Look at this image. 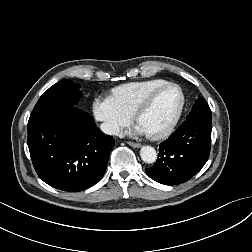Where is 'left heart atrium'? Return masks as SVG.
Instances as JSON below:
<instances>
[{
    "label": "left heart atrium",
    "mask_w": 252,
    "mask_h": 252,
    "mask_svg": "<svg viewBox=\"0 0 252 252\" xmlns=\"http://www.w3.org/2000/svg\"><path fill=\"white\" fill-rule=\"evenodd\" d=\"M131 133H133V134H149L148 130L139 122L133 127V129L131 130Z\"/></svg>",
    "instance_id": "left-heart-atrium-1"
}]
</instances>
